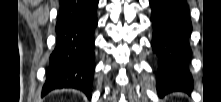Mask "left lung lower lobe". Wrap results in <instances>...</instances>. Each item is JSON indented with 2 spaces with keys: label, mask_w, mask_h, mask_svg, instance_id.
<instances>
[{
  "label": "left lung lower lobe",
  "mask_w": 221,
  "mask_h": 102,
  "mask_svg": "<svg viewBox=\"0 0 221 102\" xmlns=\"http://www.w3.org/2000/svg\"><path fill=\"white\" fill-rule=\"evenodd\" d=\"M153 26L152 48L158 57L159 96L172 91L192 90L189 71L192 25L184 0H150Z\"/></svg>",
  "instance_id": "obj_1"
}]
</instances>
